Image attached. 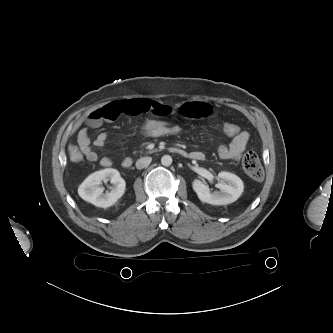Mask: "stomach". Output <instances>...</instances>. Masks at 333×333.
<instances>
[{"mask_svg": "<svg viewBox=\"0 0 333 333\" xmlns=\"http://www.w3.org/2000/svg\"><path fill=\"white\" fill-rule=\"evenodd\" d=\"M219 112V105L213 101L180 103L173 110L174 116L180 120L213 119L219 115Z\"/></svg>", "mask_w": 333, "mask_h": 333, "instance_id": "0dacf381", "label": "stomach"}]
</instances>
